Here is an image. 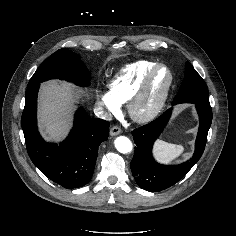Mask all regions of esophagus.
I'll list each match as a JSON object with an SVG mask.
<instances>
[{
	"label": "esophagus",
	"instance_id": "esophagus-1",
	"mask_svg": "<svg viewBox=\"0 0 236 236\" xmlns=\"http://www.w3.org/2000/svg\"><path fill=\"white\" fill-rule=\"evenodd\" d=\"M122 130L119 126H113L111 129H110V135L111 136H117L119 134H121Z\"/></svg>",
	"mask_w": 236,
	"mask_h": 236
}]
</instances>
